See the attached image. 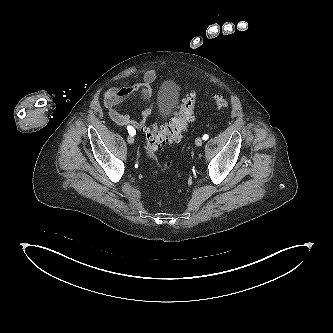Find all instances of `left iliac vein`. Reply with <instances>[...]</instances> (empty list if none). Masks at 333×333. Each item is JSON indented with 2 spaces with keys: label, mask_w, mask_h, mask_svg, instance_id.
<instances>
[{
  "label": "left iliac vein",
  "mask_w": 333,
  "mask_h": 333,
  "mask_svg": "<svg viewBox=\"0 0 333 333\" xmlns=\"http://www.w3.org/2000/svg\"><path fill=\"white\" fill-rule=\"evenodd\" d=\"M202 139L200 138V137H198V138H196V140H195V144H196V146H201L202 145Z\"/></svg>",
  "instance_id": "4c4485c4"
}]
</instances>
